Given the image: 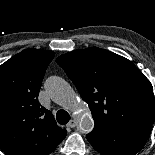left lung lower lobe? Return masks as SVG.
I'll use <instances>...</instances> for the list:
<instances>
[{
	"label": "left lung lower lobe",
	"instance_id": "0a47b994",
	"mask_svg": "<svg viewBox=\"0 0 155 155\" xmlns=\"http://www.w3.org/2000/svg\"><path fill=\"white\" fill-rule=\"evenodd\" d=\"M151 130L152 124L94 127L86 137L103 155H135L145 145Z\"/></svg>",
	"mask_w": 155,
	"mask_h": 155
}]
</instances>
